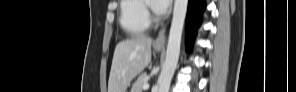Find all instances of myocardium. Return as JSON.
<instances>
[{
    "label": "myocardium",
    "mask_w": 296,
    "mask_h": 92,
    "mask_svg": "<svg viewBox=\"0 0 296 92\" xmlns=\"http://www.w3.org/2000/svg\"><path fill=\"white\" fill-rule=\"evenodd\" d=\"M146 6L149 8L151 6V3L150 2H146ZM155 20V19H153Z\"/></svg>",
    "instance_id": "myocardium-1"
}]
</instances>
